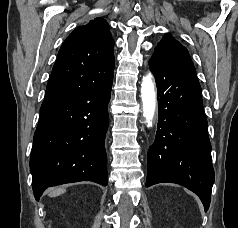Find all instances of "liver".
I'll return each mask as SVG.
<instances>
[{
	"instance_id": "liver-1",
	"label": "liver",
	"mask_w": 238,
	"mask_h": 228,
	"mask_svg": "<svg viewBox=\"0 0 238 228\" xmlns=\"http://www.w3.org/2000/svg\"><path fill=\"white\" fill-rule=\"evenodd\" d=\"M65 192V188H56V189H52L49 193L50 197H56L58 195H61Z\"/></svg>"
}]
</instances>
